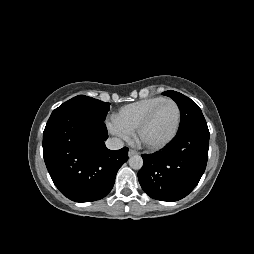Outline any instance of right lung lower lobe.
Masks as SVG:
<instances>
[{
    "mask_svg": "<svg viewBox=\"0 0 254 254\" xmlns=\"http://www.w3.org/2000/svg\"><path fill=\"white\" fill-rule=\"evenodd\" d=\"M104 121L75 112L51 115L43 132V156L59 191L76 202L96 201L112 189L128 148H106Z\"/></svg>",
    "mask_w": 254,
    "mask_h": 254,
    "instance_id": "98d812e1",
    "label": "right lung lower lobe"
}]
</instances>
